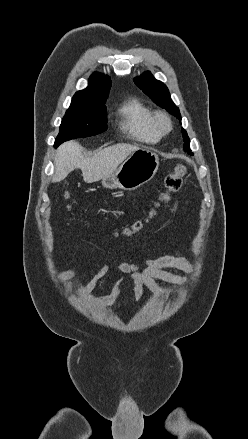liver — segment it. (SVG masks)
<instances>
[{
  "label": "liver",
  "instance_id": "liver-1",
  "mask_svg": "<svg viewBox=\"0 0 248 439\" xmlns=\"http://www.w3.org/2000/svg\"><path fill=\"white\" fill-rule=\"evenodd\" d=\"M139 149L132 144L119 143L87 157L82 154L83 148L77 142H65L57 149L52 181L64 180L75 169H81L86 183L99 181L113 173L131 153Z\"/></svg>",
  "mask_w": 248,
  "mask_h": 439
}]
</instances>
